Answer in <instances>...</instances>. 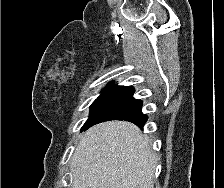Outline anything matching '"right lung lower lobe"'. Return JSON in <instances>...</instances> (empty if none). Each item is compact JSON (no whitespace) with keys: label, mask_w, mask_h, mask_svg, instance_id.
<instances>
[{"label":"right lung lower lobe","mask_w":224,"mask_h":188,"mask_svg":"<svg viewBox=\"0 0 224 188\" xmlns=\"http://www.w3.org/2000/svg\"><path fill=\"white\" fill-rule=\"evenodd\" d=\"M133 92L132 87H125L94 115L86 129L109 120L130 121L143 127L147 121V115L141 112L142 101L134 99Z\"/></svg>","instance_id":"obj_1"}]
</instances>
